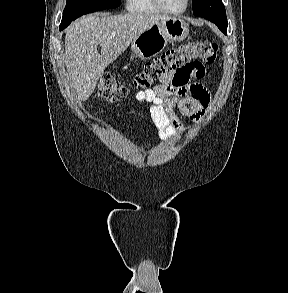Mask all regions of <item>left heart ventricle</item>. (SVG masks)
Wrapping results in <instances>:
<instances>
[{"mask_svg": "<svg viewBox=\"0 0 288 293\" xmlns=\"http://www.w3.org/2000/svg\"><path fill=\"white\" fill-rule=\"evenodd\" d=\"M164 5L170 10H180L185 3V0H162Z\"/></svg>", "mask_w": 288, "mask_h": 293, "instance_id": "b2bd125f", "label": "left heart ventricle"}]
</instances>
